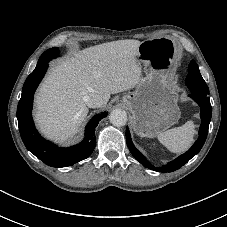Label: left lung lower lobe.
I'll return each instance as SVG.
<instances>
[{"mask_svg": "<svg viewBox=\"0 0 227 227\" xmlns=\"http://www.w3.org/2000/svg\"><path fill=\"white\" fill-rule=\"evenodd\" d=\"M192 99L197 102L201 108V125L199 130V138L194 143V145L183 155L179 156L175 160L168 162L163 167H155L153 166L133 145L130 137V132L128 127L126 128V141L128 148L130 149V152L132 155L136 158L137 161H139L142 165L145 167L158 171V172H173L180 167H182L185 163H187L192 157H194L203 147L207 134H208V128L209 123L211 120L212 115V108L210 104V99L208 96L200 95L197 92H191L189 95Z\"/></svg>", "mask_w": 227, "mask_h": 227, "instance_id": "obj_1", "label": "left lung lower lobe"}]
</instances>
